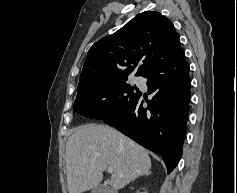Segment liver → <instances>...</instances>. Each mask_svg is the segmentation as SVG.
<instances>
[{"mask_svg":"<svg viewBox=\"0 0 237 193\" xmlns=\"http://www.w3.org/2000/svg\"><path fill=\"white\" fill-rule=\"evenodd\" d=\"M67 188L82 193L98 186L106 168H113L110 185L119 190L138 176L149 174L148 152L107 125L85 124L74 129L66 143Z\"/></svg>","mask_w":237,"mask_h":193,"instance_id":"liver-1","label":"liver"}]
</instances>
